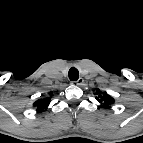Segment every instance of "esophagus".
Instances as JSON below:
<instances>
[{
    "label": "esophagus",
    "mask_w": 143,
    "mask_h": 143,
    "mask_svg": "<svg viewBox=\"0 0 143 143\" xmlns=\"http://www.w3.org/2000/svg\"><path fill=\"white\" fill-rule=\"evenodd\" d=\"M84 83V79L81 77L77 81H73L72 84L82 85Z\"/></svg>",
    "instance_id": "1"
}]
</instances>
